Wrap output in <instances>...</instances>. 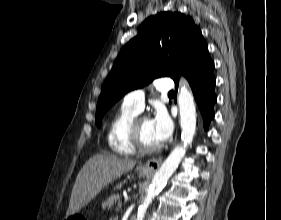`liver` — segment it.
I'll use <instances>...</instances> for the list:
<instances>
[{"instance_id":"obj_1","label":"liver","mask_w":281,"mask_h":220,"mask_svg":"<svg viewBox=\"0 0 281 220\" xmlns=\"http://www.w3.org/2000/svg\"><path fill=\"white\" fill-rule=\"evenodd\" d=\"M136 165L132 159H120L114 155L102 153L91 157L78 173L72 188L66 218L79 212L100 191Z\"/></svg>"}]
</instances>
